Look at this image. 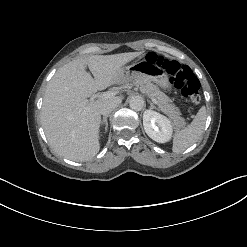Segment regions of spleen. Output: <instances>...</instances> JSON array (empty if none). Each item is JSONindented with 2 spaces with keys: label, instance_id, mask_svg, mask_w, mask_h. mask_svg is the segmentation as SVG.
<instances>
[{
  "label": "spleen",
  "instance_id": "spleen-1",
  "mask_svg": "<svg viewBox=\"0 0 247 247\" xmlns=\"http://www.w3.org/2000/svg\"><path fill=\"white\" fill-rule=\"evenodd\" d=\"M205 122L206 108L203 106L187 127L175 132L173 136L172 151L174 153H181L193 145L202 135Z\"/></svg>",
  "mask_w": 247,
  "mask_h": 247
}]
</instances>
